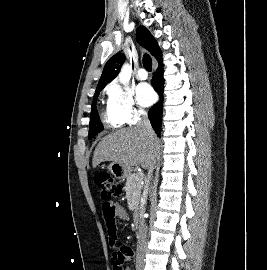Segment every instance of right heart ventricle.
Listing matches in <instances>:
<instances>
[{"label": "right heart ventricle", "mask_w": 267, "mask_h": 270, "mask_svg": "<svg viewBox=\"0 0 267 270\" xmlns=\"http://www.w3.org/2000/svg\"><path fill=\"white\" fill-rule=\"evenodd\" d=\"M103 122L109 127V128H119L123 123L120 122L118 119H116L112 113L110 112L109 108H107L102 115Z\"/></svg>", "instance_id": "right-heart-ventricle-1"}]
</instances>
